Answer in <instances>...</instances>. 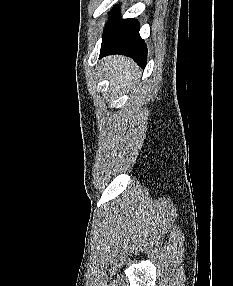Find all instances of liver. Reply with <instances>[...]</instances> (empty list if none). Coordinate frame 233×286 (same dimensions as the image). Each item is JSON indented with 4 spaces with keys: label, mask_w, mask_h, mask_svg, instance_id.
I'll return each mask as SVG.
<instances>
[{
    "label": "liver",
    "mask_w": 233,
    "mask_h": 286,
    "mask_svg": "<svg viewBox=\"0 0 233 286\" xmlns=\"http://www.w3.org/2000/svg\"><path fill=\"white\" fill-rule=\"evenodd\" d=\"M102 64L105 77L109 78L111 88L116 91L129 88L139 77L136 65L127 57L109 56Z\"/></svg>",
    "instance_id": "6515ba94"
}]
</instances>
